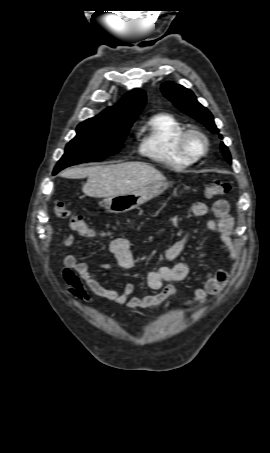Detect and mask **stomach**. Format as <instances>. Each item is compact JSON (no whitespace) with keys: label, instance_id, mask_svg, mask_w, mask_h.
I'll list each match as a JSON object with an SVG mask.
<instances>
[{"label":"stomach","instance_id":"obj_1","mask_svg":"<svg viewBox=\"0 0 270 453\" xmlns=\"http://www.w3.org/2000/svg\"><path fill=\"white\" fill-rule=\"evenodd\" d=\"M167 187L165 182H156L127 194L106 197L102 203L109 213H125L159 196Z\"/></svg>","mask_w":270,"mask_h":453}]
</instances>
